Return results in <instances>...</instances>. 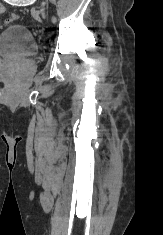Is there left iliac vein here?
I'll return each instance as SVG.
<instances>
[{
    "instance_id": "4c4485c4",
    "label": "left iliac vein",
    "mask_w": 163,
    "mask_h": 235,
    "mask_svg": "<svg viewBox=\"0 0 163 235\" xmlns=\"http://www.w3.org/2000/svg\"><path fill=\"white\" fill-rule=\"evenodd\" d=\"M41 14H42L43 18L46 17V14H45V11H44V8H43V7H41Z\"/></svg>"
}]
</instances>
